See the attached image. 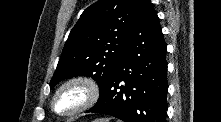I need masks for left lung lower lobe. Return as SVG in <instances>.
I'll return each mask as SVG.
<instances>
[{"label":"left lung lower lobe","instance_id":"obj_1","mask_svg":"<svg viewBox=\"0 0 221 122\" xmlns=\"http://www.w3.org/2000/svg\"><path fill=\"white\" fill-rule=\"evenodd\" d=\"M166 44L150 0H141L137 18L105 91L86 112L124 122H166Z\"/></svg>","mask_w":221,"mask_h":122}]
</instances>
